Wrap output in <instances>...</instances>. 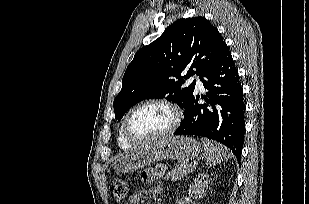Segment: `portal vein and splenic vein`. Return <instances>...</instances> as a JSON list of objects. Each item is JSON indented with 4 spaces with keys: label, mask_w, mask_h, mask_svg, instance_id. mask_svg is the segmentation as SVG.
Wrapping results in <instances>:
<instances>
[{
    "label": "portal vein and splenic vein",
    "mask_w": 309,
    "mask_h": 204,
    "mask_svg": "<svg viewBox=\"0 0 309 204\" xmlns=\"http://www.w3.org/2000/svg\"><path fill=\"white\" fill-rule=\"evenodd\" d=\"M191 167H195V165L190 164Z\"/></svg>",
    "instance_id": "18ae733b"
}]
</instances>
